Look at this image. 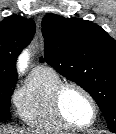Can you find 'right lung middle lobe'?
Listing matches in <instances>:
<instances>
[{
    "label": "right lung middle lobe",
    "mask_w": 116,
    "mask_h": 134,
    "mask_svg": "<svg viewBox=\"0 0 116 134\" xmlns=\"http://www.w3.org/2000/svg\"><path fill=\"white\" fill-rule=\"evenodd\" d=\"M15 84L16 82H0V121H6L11 119L10 102L11 95L15 88Z\"/></svg>",
    "instance_id": "obj_1"
}]
</instances>
